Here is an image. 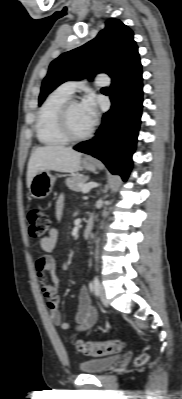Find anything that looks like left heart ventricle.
<instances>
[{
  "label": "left heart ventricle",
  "instance_id": "left-heart-ventricle-1",
  "mask_svg": "<svg viewBox=\"0 0 182 399\" xmlns=\"http://www.w3.org/2000/svg\"><path fill=\"white\" fill-rule=\"evenodd\" d=\"M69 123L71 131L75 135L84 134L92 125L79 103H75L71 106L69 111Z\"/></svg>",
  "mask_w": 182,
  "mask_h": 399
}]
</instances>
